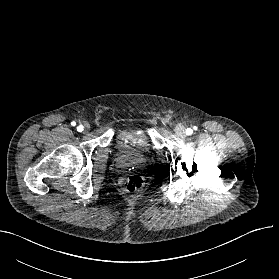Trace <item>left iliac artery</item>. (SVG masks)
Here are the masks:
<instances>
[{
    "instance_id": "left-iliac-artery-1",
    "label": "left iliac artery",
    "mask_w": 279,
    "mask_h": 279,
    "mask_svg": "<svg viewBox=\"0 0 279 279\" xmlns=\"http://www.w3.org/2000/svg\"><path fill=\"white\" fill-rule=\"evenodd\" d=\"M193 133V130L191 129V128H188L187 130H186V134L187 135H191Z\"/></svg>"
}]
</instances>
